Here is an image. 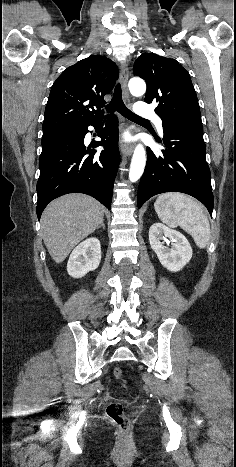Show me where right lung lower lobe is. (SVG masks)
I'll return each mask as SVG.
<instances>
[{
    "instance_id": "right-lung-lower-lobe-1",
    "label": "right lung lower lobe",
    "mask_w": 236,
    "mask_h": 467,
    "mask_svg": "<svg viewBox=\"0 0 236 467\" xmlns=\"http://www.w3.org/2000/svg\"><path fill=\"white\" fill-rule=\"evenodd\" d=\"M102 118L75 130L42 138L37 182V216L53 199L67 193L91 195L111 209L112 190L120 163L118 149V120L113 115L104 128ZM100 128L94 148L104 146L100 154L86 149L84 137L88 126Z\"/></svg>"
}]
</instances>
